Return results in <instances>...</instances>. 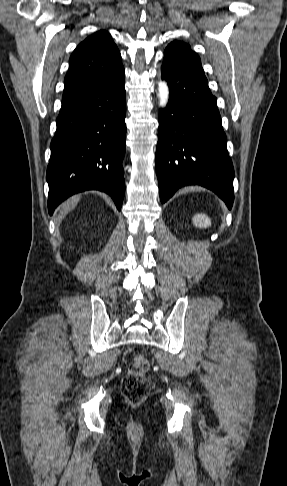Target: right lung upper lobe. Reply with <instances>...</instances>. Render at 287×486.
Instances as JSON below:
<instances>
[{
	"label": "right lung upper lobe",
	"instance_id": "cb5924a9",
	"mask_svg": "<svg viewBox=\"0 0 287 486\" xmlns=\"http://www.w3.org/2000/svg\"><path fill=\"white\" fill-rule=\"evenodd\" d=\"M124 76L121 55L111 35L104 30L98 31L73 51L64 79L62 102L116 82Z\"/></svg>",
	"mask_w": 287,
	"mask_h": 486
}]
</instances>
